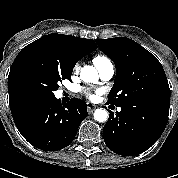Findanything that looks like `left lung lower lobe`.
Masks as SVG:
<instances>
[{"instance_id":"0a47b994","label":"left lung lower lobe","mask_w":178,"mask_h":178,"mask_svg":"<svg viewBox=\"0 0 178 178\" xmlns=\"http://www.w3.org/2000/svg\"><path fill=\"white\" fill-rule=\"evenodd\" d=\"M168 118L145 111L121 107L103 128V138L107 147L123 156H133L149 149L162 135Z\"/></svg>"}]
</instances>
